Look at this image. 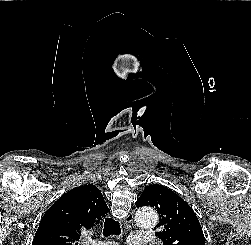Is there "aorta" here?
<instances>
[{
    "mask_svg": "<svg viewBox=\"0 0 251 245\" xmlns=\"http://www.w3.org/2000/svg\"><path fill=\"white\" fill-rule=\"evenodd\" d=\"M137 224L140 227L151 228L158 222V215L151 207H142L137 211Z\"/></svg>",
    "mask_w": 251,
    "mask_h": 245,
    "instance_id": "1",
    "label": "aorta"
}]
</instances>
